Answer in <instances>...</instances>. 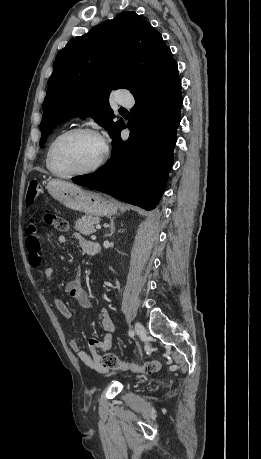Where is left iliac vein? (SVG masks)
<instances>
[{
	"label": "left iliac vein",
	"mask_w": 261,
	"mask_h": 459,
	"mask_svg": "<svg viewBox=\"0 0 261 459\" xmlns=\"http://www.w3.org/2000/svg\"><path fill=\"white\" fill-rule=\"evenodd\" d=\"M135 331L139 336L140 340L143 342L146 339V331L144 326L140 322L135 323Z\"/></svg>",
	"instance_id": "1"
}]
</instances>
